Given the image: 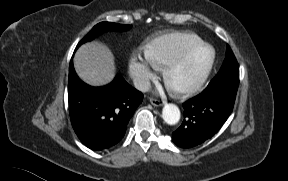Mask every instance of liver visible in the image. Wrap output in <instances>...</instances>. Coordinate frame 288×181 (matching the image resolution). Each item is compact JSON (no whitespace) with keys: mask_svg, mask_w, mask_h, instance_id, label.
Listing matches in <instances>:
<instances>
[{"mask_svg":"<svg viewBox=\"0 0 288 181\" xmlns=\"http://www.w3.org/2000/svg\"><path fill=\"white\" fill-rule=\"evenodd\" d=\"M74 67L80 79L92 86L108 84L115 76L113 54L108 47L98 42L83 44L77 50Z\"/></svg>","mask_w":288,"mask_h":181,"instance_id":"6515ba94","label":"liver"}]
</instances>
